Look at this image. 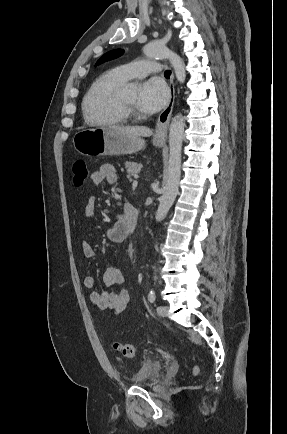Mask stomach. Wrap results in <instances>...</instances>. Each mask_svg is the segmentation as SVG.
Instances as JSON below:
<instances>
[{
    "label": "stomach",
    "mask_w": 287,
    "mask_h": 434,
    "mask_svg": "<svg viewBox=\"0 0 287 434\" xmlns=\"http://www.w3.org/2000/svg\"><path fill=\"white\" fill-rule=\"evenodd\" d=\"M153 143L160 147L164 140L154 139ZM73 145L85 156L126 155L143 149L145 141L111 127H93L78 131L73 137Z\"/></svg>",
    "instance_id": "1"
}]
</instances>
